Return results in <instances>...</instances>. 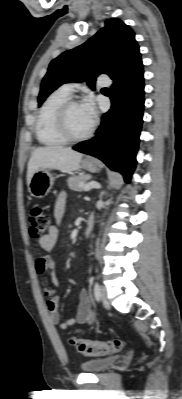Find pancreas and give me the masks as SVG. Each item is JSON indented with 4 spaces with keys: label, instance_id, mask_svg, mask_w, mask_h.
<instances>
[{
    "label": "pancreas",
    "instance_id": "obj_1",
    "mask_svg": "<svg viewBox=\"0 0 182 399\" xmlns=\"http://www.w3.org/2000/svg\"><path fill=\"white\" fill-rule=\"evenodd\" d=\"M90 177V175L85 174L72 176L67 179V183L71 190L82 191L84 189L83 185H85V182L90 179Z\"/></svg>",
    "mask_w": 182,
    "mask_h": 399
}]
</instances>
